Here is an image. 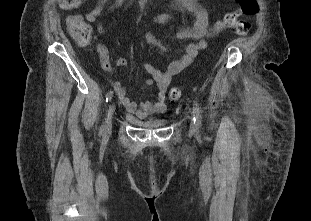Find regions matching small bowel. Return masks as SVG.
I'll use <instances>...</instances> for the list:
<instances>
[{"label":"small bowel","instance_id":"small-bowel-1","mask_svg":"<svg viewBox=\"0 0 311 221\" xmlns=\"http://www.w3.org/2000/svg\"><path fill=\"white\" fill-rule=\"evenodd\" d=\"M108 2L109 0H98L96 6L86 14V20L88 22H95L101 15L104 7ZM119 2H121V0L113 1L114 4ZM174 2L177 8L186 10L194 14L196 17L194 25L191 28L180 31L177 34V38L179 40L191 39L194 40V42L186 44L180 50L178 58L171 61L164 71L158 70L152 64H145V70L151 77L146 79L143 84L144 86L156 84L157 93L155 101L152 103L138 104L128 97L127 90L121 82L115 81L113 83L120 102L124 105L128 112L138 118H144L150 114H162L166 111V95L172 78L183 69L188 67L193 62L195 57L207 48V43L204 40V36L209 31H213V26L215 23L210 28L209 16L206 10L198 3L197 0H175ZM170 19L171 14L163 13L157 17L156 21L159 23H165ZM97 31L102 33L104 31V26L99 24L97 26ZM147 39L160 50L164 52L167 51L156 41L153 36L148 35ZM97 52L100 57L102 68L107 73H113L114 67L110 62L107 48L103 44H99L97 46ZM116 66L120 68H126L127 61L124 58H119L116 61Z\"/></svg>","mask_w":311,"mask_h":221}]
</instances>
